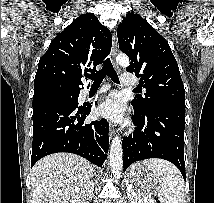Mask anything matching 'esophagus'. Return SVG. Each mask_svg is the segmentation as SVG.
<instances>
[{
    "instance_id": "obj_1",
    "label": "esophagus",
    "mask_w": 214,
    "mask_h": 203,
    "mask_svg": "<svg viewBox=\"0 0 214 203\" xmlns=\"http://www.w3.org/2000/svg\"><path fill=\"white\" fill-rule=\"evenodd\" d=\"M117 55V36L115 31L112 33V50H111V60L113 65L115 66L116 69H118L117 65L115 64V58ZM115 133L114 127L110 126L109 128V138L112 139L113 135Z\"/></svg>"
}]
</instances>
